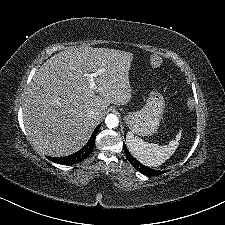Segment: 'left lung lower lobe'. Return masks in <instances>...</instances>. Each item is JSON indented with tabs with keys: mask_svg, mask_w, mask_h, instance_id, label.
I'll return each instance as SVG.
<instances>
[{
	"mask_svg": "<svg viewBox=\"0 0 225 225\" xmlns=\"http://www.w3.org/2000/svg\"><path fill=\"white\" fill-rule=\"evenodd\" d=\"M124 151H125V155L127 157V159L129 160V162L132 164L133 167H135L139 172H141L142 174H148V175H160L163 174L164 171H156L153 169H150L144 165H142L139 161H137L128 151V149L126 148L125 144H124Z\"/></svg>",
	"mask_w": 225,
	"mask_h": 225,
	"instance_id": "obj_1",
	"label": "left lung lower lobe"
}]
</instances>
